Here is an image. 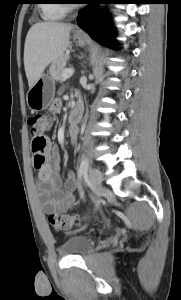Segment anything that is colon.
Returning <instances> with one entry per match:
<instances>
[{
	"label": "colon",
	"instance_id": "1",
	"mask_svg": "<svg viewBox=\"0 0 181 300\" xmlns=\"http://www.w3.org/2000/svg\"><path fill=\"white\" fill-rule=\"evenodd\" d=\"M28 125L32 136L31 149L35 154H42L48 145L45 132L52 126V118L44 114H34L28 119ZM39 160V162H41ZM83 218L73 214H52L49 222L56 230H68L79 225Z\"/></svg>",
	"mask_w": 181,
	"mask_h": 300
}]
</instances>
